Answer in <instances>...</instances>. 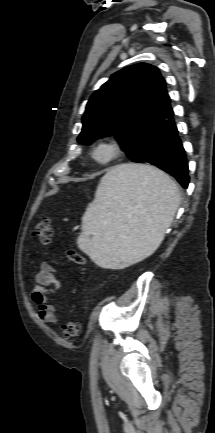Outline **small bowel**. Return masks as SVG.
Instances as JSON below:
<instances>
[{
  "mask_svg": "<svg viewBox=\"0 0 215 433\" xmlns=\"http://www.w3.org/2000/svg\"><path fill=\"white\" fill-rule=\"evenodd\" d=\"M60 288V280L55 269L48 262H42L35 274V285L31 291V299L37 306L38 315L48 324H56L59 317L50 296Z\"/></svg>",
  "mask_w": 215,
  "mask_h": 433,
  "instance_id": "obj_1",
  "label": "small bowel"
}]
</instances>
